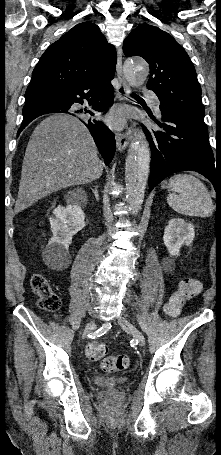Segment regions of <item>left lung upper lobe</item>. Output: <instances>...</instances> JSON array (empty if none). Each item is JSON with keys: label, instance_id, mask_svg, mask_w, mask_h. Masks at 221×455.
I'll return each mask as SVG.
<instances>
[{"label": "left lung upper lobe", "instance_id": "left-lung-upper-lobe-1", "mask_svg": "<svg viewBox=\"0 0 221 455\" xmlns=\"http://www.w3.org/2000/svg\"><path fill=\"white\" fill-rule=\"evenodd\" d=\"M126 56H141L149 64L147 88L160 100V109H169L204 119L201 87L195 68L185 50L158 27L141 24L124 40Z\"/></svg>", "mask_w": 221, "mask_h": 455}]
</instances>
